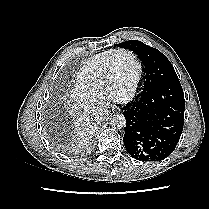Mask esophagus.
I'll return each mask as SVG.
<instances>
[{
    "label": "esophagus",
    "instance_id": "1",
    "mask_svg": "<svg viewBox=\"0 0 209 209\" xmlns=\"http://www.w3.org/2000/svg\"><path fill=\"white\" fill-rule=\"evenodd\" d=\"M116 113V111L115 110H113V114H115Z\"/></svg>",
    "mask_w": 209,
    "mask_h": 209
}]
</instances>
